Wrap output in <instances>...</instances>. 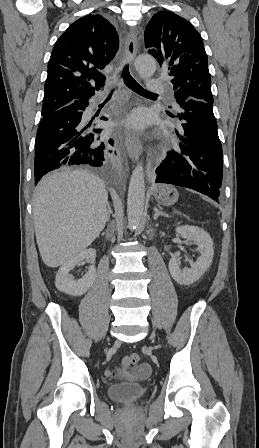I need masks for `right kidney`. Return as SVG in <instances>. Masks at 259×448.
<instances>
[{
	"instance_id": "ca27d5eb",
	"label": "right kidney",
	"mask_w": 259,
	"mask_h": 448,
	"mask_svg": "<svg viewBox=\"0 0 259 448\" xmlns=\"http://www.w3.org/2000/svg\"><path fill=\"white\" fill-rule=\"evenodd\" d=\"M95 258L96 250L89 248V250H83V252H80V254H76L74 258H71L69 262L63 264L56 274L55 286L57 290L65 292V294H69V296H83V294L91 288L95 280ZM82 260L90 262L92 266H90L87 274H85L81 280H73V278L69 276V272L70 270H73L77 264H80Z\"/></svg>"
}]
</instances>
